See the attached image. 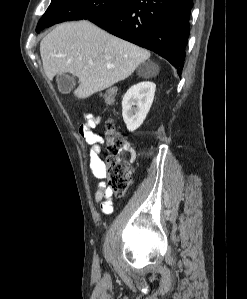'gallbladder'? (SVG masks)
I'll return each mask as SVG.
<instances>
[{
	"mask_svg": "<svg viewBox=\"0 0 247 299\" xmlns=\"http://www.w3.org/2000/svg\"><path fill=\"white\" fill-rule=\"evenodd\" d=\"M58 89L62 93H70L76 85V79L68 73H61L57 75Z\"/></svg>",
	"mask_w": 247,
	"mask_h": 299,
	"instance_id": "1",
	"label": "gallbladder"
}]
</instances>
